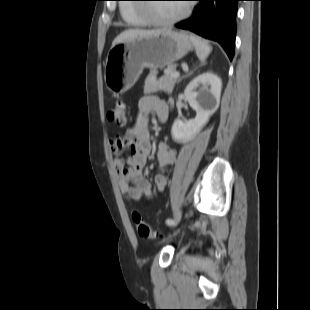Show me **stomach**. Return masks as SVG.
<instances>
[{"label":"stomach","mask_w":310,"mask_h":310,"mask_svg":"<svg viewBox=\"0 0 310 310\" xmlns=\"http://www.w3.org/2000/svg\"><path fill=\"white\" fill-rule=\"evenodd\" d=\"M193 47L191 37L172 30L121 42L108 52L105 84L112 93L122 94L133 87L144 68L171 66Z\"/></svg>","instance_id":"obj_1"}]
</instances>
